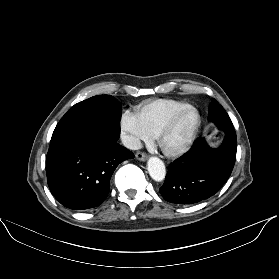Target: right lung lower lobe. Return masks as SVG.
Instances as JSON below:
<instances>
[{"label": "right lung lower lobe", "mask_w": 279, "mask_h": 279, "mask_svg": "<svg viewBox=\"0 0 279 279\" xmlns=\"http://www.w3.org/2000/svg\"><path fill=\"white\" fill-rule=\"evenodd\" d=\"M118 121H102L52 137L46 156L51 193L65 207L83 210L100 205L109 193L115 168L134 154L119 145Z\"/></svg>", "instance_id": "98d812e1"}]
</instances>
